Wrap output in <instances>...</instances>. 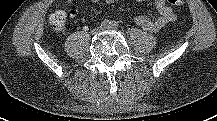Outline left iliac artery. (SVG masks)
<instances>
[{"mask_svg": "<svg viewBox=\"0 0 217 121\" xmlns=\"http://www.w3.org/2000/svg\"><path fill=\"white\" fill-rule=\"evenodd\" d=\"M118 24L116 22H111V28H116Z\"/></svg>", "mask_w": 217, "mask_h": 121, "instance_id": "left-iliac-artery-1", "label": "left iliac artery"}]
</instances>
